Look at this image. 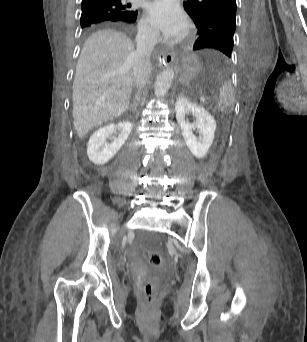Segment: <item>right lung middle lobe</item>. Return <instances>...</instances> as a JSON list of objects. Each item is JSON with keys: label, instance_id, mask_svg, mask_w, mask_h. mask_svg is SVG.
<instances>
[{"label": "right lung middle lobe", "instance_id": "obj_1", "mask_svg": "<svg viewBox=\"0 0 307 342\" xmlns=\"http://www.w3.org/2000/svg\"><path fill=\"white\" fill-rule=\"evenodd\" d=\"M118 13L111 9H87L82 10L81 27L108 20L116 17Z\"/></svg>", "mask_w": 307, "mask_h": 342}]
</instances>
